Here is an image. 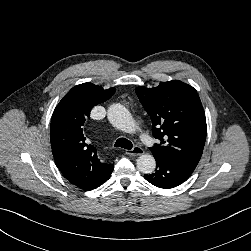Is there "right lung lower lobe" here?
<instances>
[{
    "mask_svg": "<svg viewBox=\"0 0 251 251\" xmlns=\"http://www.w3.org/2000/svg\"><path fill=\"white\" fill-rule=\"evenodd\" d=\"M112 171H113V164L107 170H105L97 179H95L93 182L86 185L82 189L83 190H91V189H95V188L99 187L110 177Z\"/></svg>",
    "mask_w": 251,
    "mask_h": 251,
    "instance_id": "1",
    "label": "right lung lower lobe"
}]
</instances>
